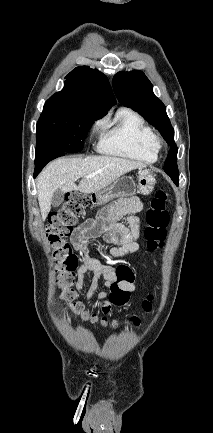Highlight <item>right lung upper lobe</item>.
Masks as SVG:
<instances>
[{"label":"right lung upper lobe","mask_w":213,"mask_h":433,"mask_svg":"<svg viewBox=\"0 0 213 433\" xmlns=\"http://www.w3.org/2000/svg\"><path fill=\"white\" fill-rule=\"evenodd\" d=\"M65 79L64 88L52 95L46 104L80 109L97 119L116 104L107 77L97 69L76 67Z\"/></svg>","instance_id":"obj_1"}]
</instances>
